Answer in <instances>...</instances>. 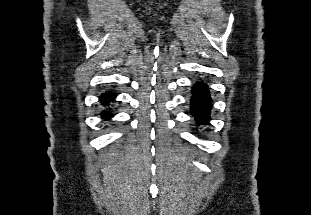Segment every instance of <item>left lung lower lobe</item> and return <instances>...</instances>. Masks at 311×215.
Returning a JSON list of instances; mask_svg holds the SVG:
<instances>
[{
  "label": "left lung lower lobe",
  "instance_id": "obj_1",
  "mask_svg": "<svg viewBox=\"0 0 311 215\" xmlns=\"http://www.w3.org/2000/svg\"><path fill=\"white\" fill-rule=\"evenodd\" d=\"M191 100V113L195 117L197 124H203L209 119L212 100L208 87L204 83L194 85Z\"/></svg>",
  "mask_w": 311,
  "mask_h": 215
}]
</instances>
